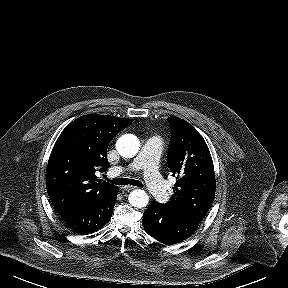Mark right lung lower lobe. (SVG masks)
Instances as JSON below:
<instances>
[{
	"mask_svg": "<svg viewBox=\"0 0 288 288\" xmlns=\"http://www.w3.org/2000/svg\"><path fill=\"white\" fill-rule=\"evenodd\" d=\"M118 191L119 188L90 205L63 211L59 215L77 233L84 235L93 233L110 220Z\"/></svg>",
	"mask_w": 288,
	"mask_h": 288,
	"instance_id": "right-lung-lower-lobe-1",
	"label": "right lung lower lobe"
}]
</instances>
